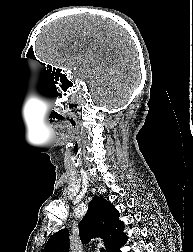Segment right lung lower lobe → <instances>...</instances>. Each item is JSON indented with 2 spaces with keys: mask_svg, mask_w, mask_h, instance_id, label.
<instances>
[{
  "mask_svg": "<svg viewBox=\"0 0 193 252\" xmlns=\"http://www.w3.org/2000/svg\"><path fill=\"white\" fill-rule=\"evenodd\" d=\"M127 241V238L114 250V252H121L120 247H122Z\"/></svg>",
  "mask_w": 193,
  "mask_h": 252,
  "instance_id": "right-lung-lower-lobe-1",
  "label": "right lung lower lobe"
}]
</instances>
